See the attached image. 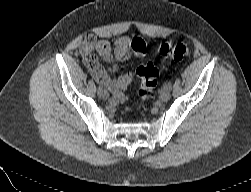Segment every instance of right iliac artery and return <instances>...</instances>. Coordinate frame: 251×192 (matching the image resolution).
I'll return each instance as SVG.
<instances>
[{"mask_svg": "<svg viewBox=\"0 0 251 192\" xmlns=\"http://www.w3.org/2000/svg\"><path fill=\"white\" fill-rule=\"evenodd\" d=\"M102 91H103L102 87L99 86L98 89H97L98 95H100L102 93Z\"/></svg>", "mask_w": 251, "mask_h": 192, "instance_id": "obj_1", "label": "right iliac artery"}]
</instances>
